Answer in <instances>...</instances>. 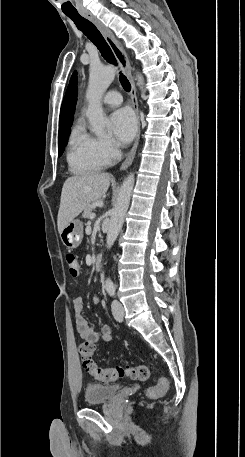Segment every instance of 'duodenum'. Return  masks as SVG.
<instances>
[{
	"label": "duodenum",
	"instance_id": "duodenum-1",
	"mask_svg": "<svg viewBox=\"0 0 245 457\" xmlns=\"http://www.w3.org/2000/svg\"><path fill=\"white\" fill-rule=\"evenodd\" d=\"M102 263H103V258L101 255H96L94 257V260H93V265L95 267V269H100L102 267Z\"/></svg>",
	"mask_w": 245,
	"mask_h": 457
}]
</instances>
